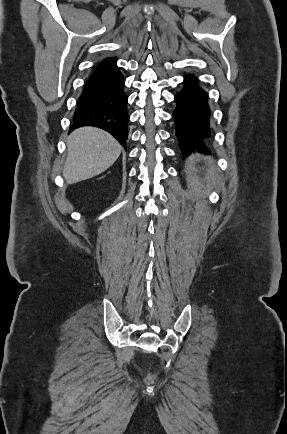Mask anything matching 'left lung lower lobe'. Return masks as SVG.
<instances>
[{
  "mask_svg": "<svg viewBox=\"0 0 287 434\" xmlns=\"http://www.w3.org/2000/svg\"><path fill=\"white\" fill-rule=\"evenodd\" d=\"M183 83L175 97V136L186 155L195 149L204 152L211 137L208 96L193 75H186Z\"/></svg>",
  "mask_w": 287,
  "mask_h": 434,
  "instance_id": "obj_1",
  "label": "left lung lower lobe"
}]
</instances>
